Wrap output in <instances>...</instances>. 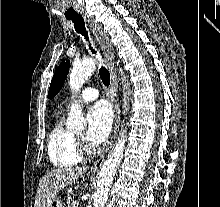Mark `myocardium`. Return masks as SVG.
I'll use <instances>...</instances> for the list:
<instances>
[{
	"mask_svg": "<svg viewBox=\"0 0 220 207\" xmlns=\"http://www.w3.org/2000/svg\"><path fill=\"white\" fill-rule=\"evenodd\" d=\"M74 141L76 152L81 158H88L96 153V150L92 148L84 139L74 136Z\"/></svg>",
	"mask_w": 220,
	"mask_h": 207,
	"instance_id": "1",
	"label": "myocardium"
}]
</instances>
